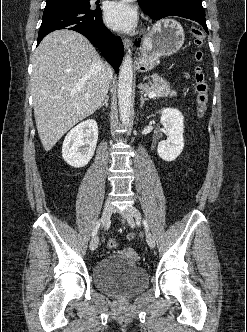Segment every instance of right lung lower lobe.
I'll list each match as a JSON object with an SVG mask.
<instances>
[{
	"label": "right lung lower lobe",
	"mask_w": 247,
	"mask_h": 332,
	"mask_svg": "<svg viewBox=\"0 0 247 332\" xmlns=\"http://www.w3.org/2000/svg\"><path fill=\"white\" fill-rule=\"evenodd\" d=\"M59 29L74 30L83 34L102 51L105 59L115 72H118L124 55V46L120 37L114 36L104 27L100 8L90 9L75 5L45 7L37 44L48 33Z\"/></svg>",
	"instance_id": "1"
}]
</instances>
